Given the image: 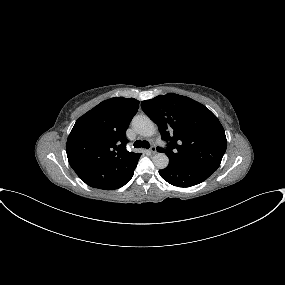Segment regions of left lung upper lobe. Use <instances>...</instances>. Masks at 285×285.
<instances>
[{"label":"left lung upper lobe","mask_w":285,"mask_h":285,"mask_svg":"<svg viewBox=\"0 0 285 285\" xmlns=\"http://www.w3.org/2000/svg\"><path fill=\"white\" fill-rule=\"evenodd\" d=\"M146 115L169 141L160 148L169 164L215 172L226 151L225 131L217 117L204 105L182 95L169 93L141 102Z\"/></svg>","instance_id":"1"}]
</instances>
